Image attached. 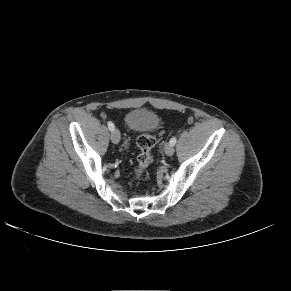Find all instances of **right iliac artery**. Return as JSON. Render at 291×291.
<instances>
[{"instance_id":"obj_1","label":"right iliac artery","mask_w":291,"mask_h":291,"mask_svg":"<svg viewBox=\"0 0 291 291\" xmlns=\"http://www.w3.org/2000/svg\"><path fill=\"white\" fill-rule=\"evenodd\" d=\"M107 125H108V128H109L111 131L114 130L115 127H114V124H113L111 121H109Z\"/></svg>"}]
</instances>
